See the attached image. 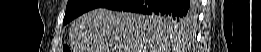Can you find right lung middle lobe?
<instances>
[{"mask_svg": "<svg viewBox=\"0 0 261 52\" xmlns=\"http://www.w3.org/2000/svg\"><path fill=\"white\" fill-rule=\"evenodd\" d=\"M110 0H68L66 7V14L64 17L63 24H67L77 16L92 10L94 8H99L107 4ZM194 15L192 14L190 17L180 18L176 16H165L160 15L163 20L168 21L172 24L175 23H184L187 21H192L194 19Z\"/></svg>", "mask_w": 261, "mask_h": 52, "instance_id": "dd1d6c3e", "label": "right lung middle lobe"}]
</instances>
